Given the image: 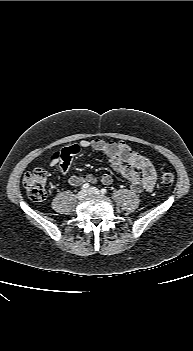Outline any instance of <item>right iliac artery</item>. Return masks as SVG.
I'll list each match as a JSON object with an SVG mask.
<instances>
[{"label":"right iliac artery","mask_w":193,"mask_h":351,"mask_svg":"<svg viewBox=\"0 0 193 351\" xmlns=\"http://www.w3.org/2000/svg\"><path fill=\"white\" fill-rule=\"evenodd\" d=\"M89 183H85V184H83L82 185V190H86V189H88L89 188Z\"/></svg>","instance_id":"obj_1"}]
</instances>
